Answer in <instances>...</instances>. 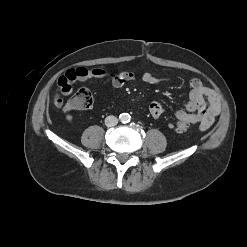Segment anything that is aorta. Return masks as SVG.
I'll return each mask as SVG.
<instances>
[{
    "label": "aorta",
    "mask_w": 247,
    "mask_h": 247,
    "mask_svg": "<svg viewBox=\"0 0 247 247\" xmlns=\"http://www.w3.org/2000/svg\"><path fill=\"white\" fill-rule=\"evenodd\" d=\"M120 120L123 122V123H126L130 120V115L128 113H123L120 115Z\"/></svg>",
    "instance_id": "1"
}]
</instances>
